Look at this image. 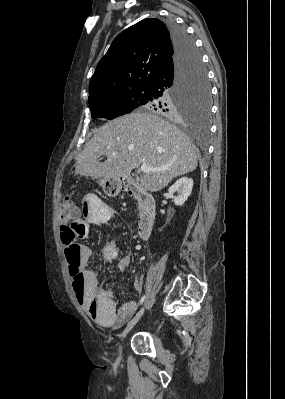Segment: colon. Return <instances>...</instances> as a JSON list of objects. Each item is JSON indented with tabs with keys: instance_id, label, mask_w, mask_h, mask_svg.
Returning <instances> with one entry per match:
<instances>
[{
	"instance_id": "5ec220e1",
	"label": "colon",
	"mask_w": 285,
	"mask_h": 399,
	"mask_svg": "<svg viewBox=\"0 0 285 399\" xmlns=\"http://www.w3.org/2000/svg\"><path fill=\"white\" fill-rule=\"evenodd\" d=\"M110 193L115 191V187L108 189ZM81 205L75 202L70 194L61 203L59 209V218L64 221L60 226L61 241L65 245V255L71 264L70 275L72 278L71 287L73 291L81 292L84 288V280L79 270V249L77 240L80 238L79 232L82 222L79 218ZM94 306H100L99 302H95Z\"/></svg>"
}]
</instances>
